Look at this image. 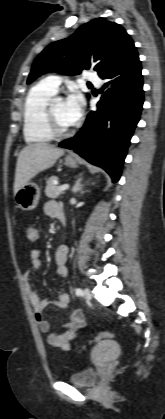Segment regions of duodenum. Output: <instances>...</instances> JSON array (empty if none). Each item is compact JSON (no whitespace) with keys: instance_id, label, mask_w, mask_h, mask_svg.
Instances as JSON below:
<instances>
[{"instance_id":"obj_1","label":"duodenum","mask_w":165,"mask_h":419,"mask_svg":"<svg viewBox=\"0 0 165 419\" xmlns=\"http://www.w3.org/2000/svg\"><path fill=\"white\" fill-rule=\"evenodd\" d=\"M57 217L62 221L63 224L66 223V217H65L63 208L60 206L58 207V210H57Z\"/></svg>"}]
</instances>
